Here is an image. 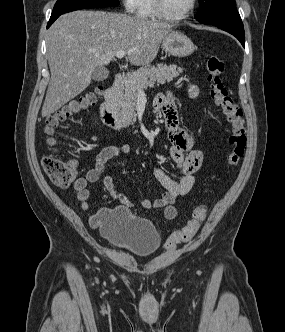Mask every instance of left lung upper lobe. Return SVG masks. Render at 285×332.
<instances>
[{
    "instance_id": "5c2ea615",
    "label": "left lung upper lobe",
    "mask_w": 285,
    "mask_h": 332,
    "mask_svg": "<svg viewBox=\"0 0 285 332\" xmlns=\"http://www.w3.org/2000/svg\"><path fill=\"white\" fill-rule=\"evenodd\" d=\"M196 19L203 24L232 23L241 21L234 0H199Z\"/></svg>"
}]
</instances>
